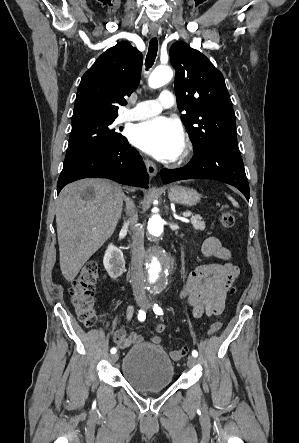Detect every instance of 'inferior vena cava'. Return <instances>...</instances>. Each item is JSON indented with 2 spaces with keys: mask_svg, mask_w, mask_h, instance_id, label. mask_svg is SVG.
I'll use <instances>...</instances> for the list:
<instances>
[{
  "mask_svg": "<svg viewBox=\"0 0 299 443\" xmlns=\"http://www.w3.org/2000/svg\"><path fill=\"white\" fill-rule=\"evenodd\" d=\"M128 222L132 229V258H131V271H132V288L135 297H145V280H144V231L137 226L138 215L134 210V204L129 212Z\"/></svg>",
  "mask_w": 299,
  "mask_h": 443,
  "instance_id": "1",
  "label": "inferior vena cava"
}]
</instances>
